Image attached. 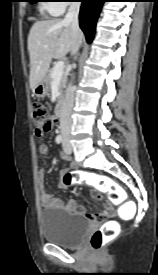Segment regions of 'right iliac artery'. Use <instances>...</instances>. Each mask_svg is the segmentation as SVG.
Listing matches in <instances>:
<instances>
[{
    "label": "right iliac artery",
    "mask_w": 158,
    "mask_h": 275,
    "mask_svg": "<svg viewBox=\"0 0 158 275\" xmlns=\"http://www.w3.org/2000/svg\"><path fill=\"white\" fill-rule=\"evenodd\" d=\"M62 140H63V138H62V135H58L57 137H56V143H61L62 142Z\"/></svg>",
    "instance_id": "1"
}]
</instances>
